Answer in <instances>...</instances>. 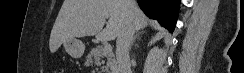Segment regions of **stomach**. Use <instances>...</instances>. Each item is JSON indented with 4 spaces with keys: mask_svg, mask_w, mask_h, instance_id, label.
<instances>
[{
    "mask_svg": "<svg viewBox=\"0 0 244 73\" xmlns=\"http://www.w3.org/2000/svg\"><path fill=\"white\" fill-rule=\"evenodd\" d=\"M63 46L67 53L74 58H80L85 50V45L78 39L67 40L63 43Z\"/></svg>",
    "mask_w": 244,
    "mask_h": 73,
    "instance_id": "0dacf381",
    "label": "stomach"
}]
</instances>
